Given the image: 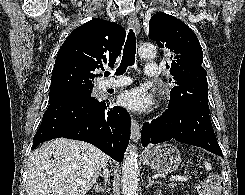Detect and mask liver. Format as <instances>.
<instances>
[{"label":"liver","mask_w":245,"mask_h":195,"mask_svg":"<svg viewBox=\"0 0 245 195\" xmlns=\"http://www.w3.org/2000/svg\"><path fill=\"white\" fill-rule=\"evenodd\" d=\"M108 159L87 142L51 140L30 155L27 195H85Z\"/></svg>","instance_id":"1"}]
</instances>
